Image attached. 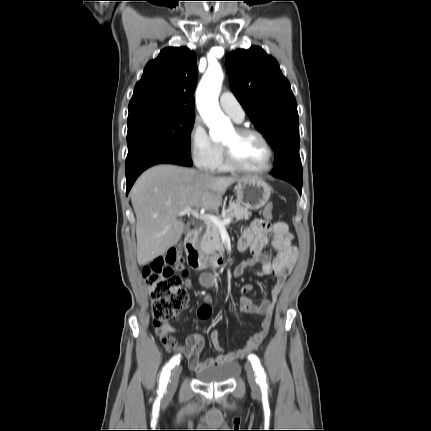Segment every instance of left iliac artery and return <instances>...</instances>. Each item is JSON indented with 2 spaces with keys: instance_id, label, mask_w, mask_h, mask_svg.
<instances>
[{
  "instance_id": "left-iliac-artery-1",
  "label": "left iliac artery",
  "mask_w": 431,
  "mask_h": 431,
  "mask_svg": "<svg viewBox=\"0 0 431 431\" xmlns=\"http://www.w3.org/2000/svg\"><path fill=\"white\" fill-rule=\"evenodd\" d=\"M248 359L252 363L253 369L256 372V375H257L256 381L259 383L261 388H267L266 374H265L264 369L260 363L259 358L256 355L251 354V355H249Z\"/></svg>"
}]
</instances>
